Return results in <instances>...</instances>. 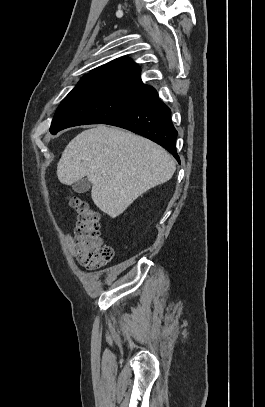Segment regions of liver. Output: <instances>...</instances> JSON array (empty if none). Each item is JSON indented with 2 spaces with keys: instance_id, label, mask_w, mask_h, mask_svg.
Masks as SVG:
<instances>
[{
  "instance_id": "liver-1",
  "label": "liver",
  "mask_w": 265,
  "mask_h": 407,
  "mask_svg": "<svg viewBox=\"0 0 265 407\" xmlns=\"http://www.w3.org/2000/svg\"><path fill=\"white\" fill-rule=\"evenodd\" d=\"M174 172L175 161L161 146L103 124L74 137L57 165L62 184L87 177L93 202L111 218L146 191L169 181Z\"/></svg>"
}]
</instances>
